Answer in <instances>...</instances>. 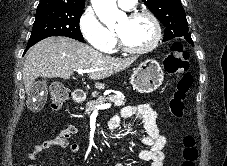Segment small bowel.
I'll use <instances>...</instances> for the list:
<instances>
[{"label": "small bowel", "mask_w": 227, "mask_h": 166, "mask_svg": "<svg viewBox=\"0 0 227 166\" xmlns=\"http://www.w3.org/2000/svg\"><path fill=\"white\" fill-rule=\"evenodd\" d=\"M131 118L141 120L145 128V135L142 138V143L147 146V149L141 150L138 157L141 160L149 161L150 166H163V148L166 140L160 135L157 127V112L149 104L125 106L121 109L119 114H116L111 118L110 125L111 127L116 128L119 126L121 119ZM76 133L77 129L75 126L66 127L54 138L36 145L34 150L29 154V159L35 160L40 152L51 148L52 146H57L62 150L69 149L74 155L79 154L81 150L80 146L76 143H70V140L75 137Z\"/></svg>", "instance_id": "small-bowel-1"}]
</instances>
